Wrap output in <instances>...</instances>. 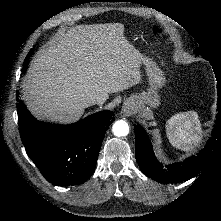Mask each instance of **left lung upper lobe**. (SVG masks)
Segmentation results:
<instances>
[{
	"instance_id": "1",
	"label": "left lung upper lobe",
	"mask_w": 221,
	"mask_h": 221,
	"mask_svg": "<svg viewBox=\"0 0 221 221\" xmlns=\"http://www.w3.org/2000/svg\"><path fill=\"white\" fill-rule=\"evenodd\" d=\"M196 52H197L198 54H202V56L205 58L204 52L202 51L201 47H198V48L196 49Z\"/></svg>"
}]
</instances>
